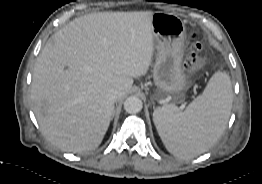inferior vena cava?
Here are the masks:
<instances>
[{
    "label": "inferior vena cava",
    "mask_w": 262,
    "mask_h": 184,
    "mask_svg": "<svg viewBox=\"0 0 262 184\" xmlns=\"http://www.w3.org/2000/svg\"><path fill=\"white\" fill-rule=\"evenodd\" d=\"M106 98L109 102L111 103H115L118 100V92L115 89H110L107 93H106Z\"/></svg>",
    "instance_id": "602c4592"
}]
</instances>
